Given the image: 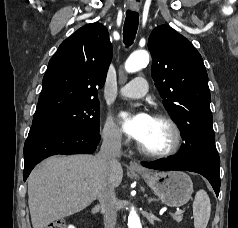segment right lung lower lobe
<instances>
[{"mask_svg":"<svg viewBox=\"0 0 238 228\" xmlns=\"http://www.w3.org/2000/svg\"><path fill=\"white\" fill-rule=\"evenodd\" d=\"M99 132L67 126H32L24 145V181L34 166L56 154H91Z\"/></svg>","mask_w":238,"mask_h":228,"instance_id":"1","label":"right lung lower lobe"}]
</instances>
